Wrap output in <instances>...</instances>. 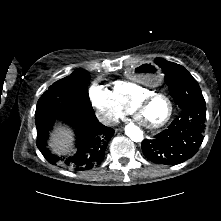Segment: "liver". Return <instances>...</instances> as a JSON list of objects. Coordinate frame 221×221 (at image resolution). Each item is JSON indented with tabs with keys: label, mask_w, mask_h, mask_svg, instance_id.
<instances>
[{
	"label": "liver",
	"mask_w": 221,
	"mask_h": 221,
	"mask_svg": "<svg viewBox=\"0 0 221 221\" xmlns=\"http://www.w3.org/2000/svg\"><path fill=\"white\" fill-rule=\"evenodd\" d=\"M72 133L66 129H57L51 137L50 147L56 154H65L72 146Z\"/></svg>",
	"instance_id": "1"
}]
</instances>
